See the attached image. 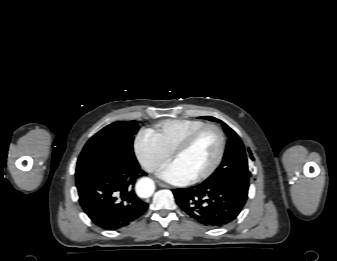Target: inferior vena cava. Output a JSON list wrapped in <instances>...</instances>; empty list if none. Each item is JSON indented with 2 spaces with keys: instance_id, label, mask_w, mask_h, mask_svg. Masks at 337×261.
Masks as SVG:
<instances>
[{
  "instance_id": "1",
  "label": "inferior vena cava",
  "mask_w": 337,
  "mask_h": 261,
  "mask_svg": "<svg viewBox=\"0 0 337 261\" xmlns=\"http://www.w3.org/2000/svg\"><path fill=\"white\" fill-rule=\"evenodd\" d=\"M149 170L150 171L154 170V166H149Z\"/></svg>"
}]
</instances>
